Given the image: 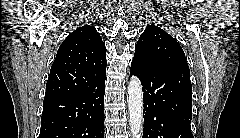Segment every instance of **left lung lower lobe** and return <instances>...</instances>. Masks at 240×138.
Masks as SVG:
<instances>
[{
	"instance_id": "obj_1",
	"label": "left lung lower lobe",
	"mask_w": 240,
	"mask_h": 138,
	"mask_svg": "<svg viewBox=\"0 0 240 138\" xmlns=\"http://www.w3.org/2000/svg\"><path fill=\"white\" fill-rule=\"evenodd\" d=\"M130 74L143 86V138H193L190 71L182 66H147L132 60Z\"/></svg>"
}]
</instances>
